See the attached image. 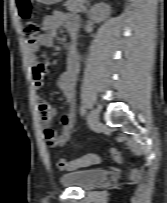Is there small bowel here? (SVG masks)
<instances>
[{"instance_id": "obj_1", "label": "small bowel", "mask_w": 167, "mask_h": 203, "mask_svg": "<svg viewBox=\"0 0 167 203\" xmlns=\"http://www.w3.org/2000/svg\"><path fill=\"white\" fill-rule=\"evenodd\" d=\"M80 20L78 16L56 11L46 16L42 21L43 34L26 40V48L31 64L33 85L36 89L43 86V81L49 74V67L38 59V51L42 46H51L59 29H64L69 36L70 45L67 51V70L59 76L58 82L68 104L62 115V128L59 133L50 127L56 109L43 98H37V110L43 125V138L52 148L65 145L76 126V84L78 81L81 63L76 49V39Z\"/></svg>"}]
</instances>
